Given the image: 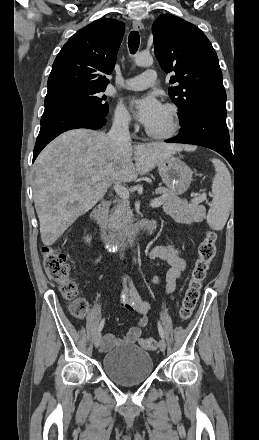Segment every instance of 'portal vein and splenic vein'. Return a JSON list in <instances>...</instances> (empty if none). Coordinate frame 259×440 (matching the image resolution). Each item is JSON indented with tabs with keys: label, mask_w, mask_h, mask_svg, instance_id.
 I'll return each mask as SVG.
<instances>
[{
	"label": "portal vein and splenic vein",
	"mask_w": 259,
	"mask_h": 440,
	"mask_svg": "<svg viewBox=\"0 0 259 440\" xmlns=\"http://www.w3.org/2000/svg\"><path fill=\"white\" fill-rule=\"evenodd\" d=\"M93 179L94 180H99V179H101V177L96 176ZM114 190L117 193V195H119L123 200H128L129 199V192H128V190L123 185H121L120 183H115ZM196 198H197L196 199L197 202H202V201L206 200V194H201V195H199ZM161 205H162V202L160 200H158V199L152 200L150 202V206L152 208H158Z\"/></svg>",
	"instance_id": "18ae733b"
}]
</instances>
